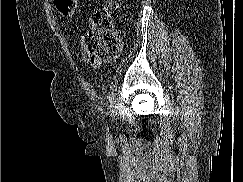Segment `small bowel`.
Segmentation results:
<instances>
[{
    "mask_svg": "<svg viewBox=\"0 0 243 182\" xmlns=\"http://www.w3.org/2000/svg\"><path fill=\"white\" fill-rule=\"evenodd\" d=\"M82 56H83V61L86 65H91L94 68H97L101 65V61L97 58H93L89 56V52L87 50L86 44L83 41L82 45Z\"/></svg>",
    "mask_w": 243,
    "mask_h": 182,
    "instance_id": "c3829d8e",
    "label": "small bowel"
}]
</instances>
